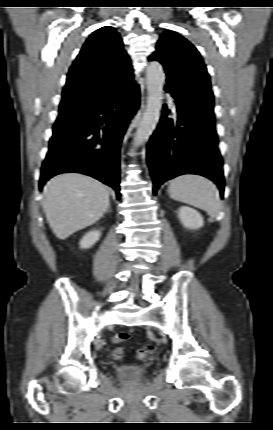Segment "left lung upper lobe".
Segmentation results:
<instances>
[{
  "label": "left lung upper lobe",
  "mask_w": 273,
  "mask_h": 430,
  "mask_svg": "<svg viewBox=\"0 0 273 430\" xmlns=\"http://www.w3.org/2000/svg\"><path fill=\"white\" fill-rule=\"evenodd\" d=\"M149 60L159 61L166 72L172 97L197 116L214 120V96L206 66L196 48L173 31L161 34Z\"/></svg>",
  "instance_id": "5c2ea615"
}]
</instances>
